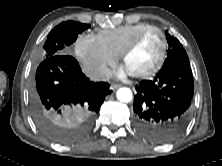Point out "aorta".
<instances>
[{"label":"aorta","mask_w":222,"mask_h":166,"mask_svg":"<svg viewBox=\"0 0 222 166\" xmlns=\"http://www.w3.org/2000/svg\"><path fill=\"white\" fill-rule=\"evenodd\" d=\"M116 95L117 99L124 103L130 102L133 98L132 91L127 87L120 88Z\"/></svg>","instance_id":"aorta-1"}]
</instances>
